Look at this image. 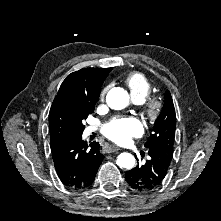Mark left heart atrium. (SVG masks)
Wrapping results in <instances>:
<instances>
[{"label":"left heart atrium","mask_w":221,"mask_h":221,"mask_svg":"<svg viewBox=\"0 0 221 221\" xmlns=\"http://www.w3.org/2000/svg\"><path fill=\"white\" fill-rule=\"evenodd\" d=\"M143 133L141 122L135 117H118L103 128V134L117 144H126Z\"/></svg>","instance_id":"obj_1"}]
</instances>
